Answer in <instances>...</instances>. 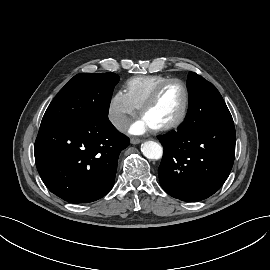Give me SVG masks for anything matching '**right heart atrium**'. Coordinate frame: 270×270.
Segmentation results:
<instances>
[{"mask_svg":"<svg viewBox=\"0 0 270 270\" xmlns=\"http://www.w3.org/2000/svg\"><path fill=\"white\" fill-rule=\"evenodd\" d=\"M136 108L122 90L116 91L110 98L107 118L117 131H123L135 116Z\"/></svg>","mask_w":270,"mask_h":270,"instance_id":"right-heart-atrium-1","label":"right heart atrium"}]
</instances>
